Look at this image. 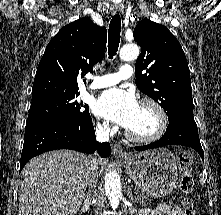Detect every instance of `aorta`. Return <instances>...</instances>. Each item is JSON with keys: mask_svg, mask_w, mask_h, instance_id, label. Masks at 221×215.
Returning a JSON list of instances; mask_svg holds the SVG:
<instances>
[{"mask_svg": "<svg viewBox=\"0 0 221 215\" xmlns=\"http://www.w3.org/2000/svg\"><path fill=\"white\" fill-rule=\"evenodd\" d=\"M139 47L136 44L124 45L120 50V58L124 61H134L139 56ZM105 191L110 205L116 209L122 199V186L120 177L113 171H107L104 177Z\"/></svg>", "mask_w": 221, "mask_h": 215, "instance_id": "obj_1", "label": "aorta"}]
</instances>
